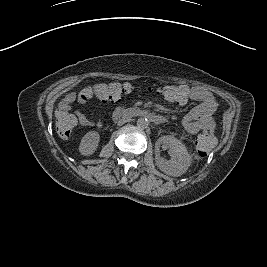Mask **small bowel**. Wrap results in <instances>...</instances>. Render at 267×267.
Listing matches in <instances>:
<instances>
[{"label":"small bowel","instance_id":"c3829d8e","mask_svg":"<svg viewBox=\"0 0 267 267\" xmlns=\"http://www.w3.org/2000/svg\"><path fill=\"white\" fill-rule=\"evenodd\" d=\"M180 88L187 93V96L186 99L179 104H185L188 100L201 102L183 118V128L191 134H196L200 131L212 132L215 128L213 114L218 107L217 100L207 89L201 86L191 88L187 86H180ZM75 101L82 104L86 103V101L81 98L80 92H71L62 100L61 110H68L70 105ZM77 117L81 126L96 127L98 129L103 127V123L101 121L87 117L80 112H77Z\"/></svg>","mask_w":267,"mask_h":267}]
</instances>
